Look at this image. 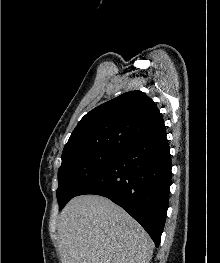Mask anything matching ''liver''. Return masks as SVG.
<instances>
[{"label": "liver", "instance_id": "1", "mask_svg": "<svg viewBox=\"0 0 220 263\" xmlns=\"http://www.w3.org/2000/svg\"><path fill=\"white\" fill-rule=\"evenodd\" d=\"M62 263H149L153 242L141 225L99 195L71 199L58 224Z\"/></svg>", "mask_w": 220, "mask_h": 263}]
</instances>
